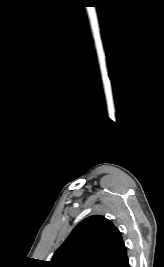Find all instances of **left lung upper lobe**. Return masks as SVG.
<instances>
[{"label":"left lung upper lobe","mask_w":164,"mask_h":267,"mask_svg":"<svg viewBox=\"0 0 164 267\" xmlns=\"http://www.w3.org/2000/svg\"><path fill=\"white\" fill-rule=\"evenodd\" d=\"M122 244L121 233L111 221L90 216L73 229L48 267H104Z\"/></svg>","instance_id":"obj_1"}]
</instances>
